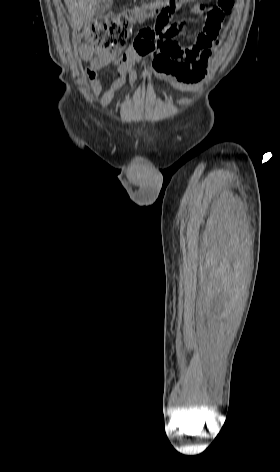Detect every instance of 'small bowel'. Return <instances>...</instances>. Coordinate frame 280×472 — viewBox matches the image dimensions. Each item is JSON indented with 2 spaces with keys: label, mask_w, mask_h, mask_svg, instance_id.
<instances>
[{
  "label": "small bowel",
  "mask_w": 280,
  "mask_h": 472,
  "mask_svg": "<svg viewBox=\"0 0 280 472\" xmlns=\"http://www.w3.org/2000/svg\"><path fill=\"white\" fill-rule=\"evenodd\" d=\"M195 0H183L191 3ZM193 14L202 17L206 7L196 4ZM184 22H157L153 27H146L138 32L133 44L121 56L115 58L101 49L89 46H80L79 54L82 60L88 63L86 74L91 88L96 96L100 97L101 105L106 108L112 102L116 92L125 84L133 85L137 81L135 66L145 59H150L151 73L168 81L174 88L181 91H194L201 87L207 72V66L212 49L218 44L221 23H205L195 41L187 47H182L176 41L184 28ZM107 66L117 69L119 77L115 79L107 90H103V83L99 71ZM187 99L177 101L183 105Z\"/></svg>",
  "instance_id": "obj_1"
}]
</instances>
